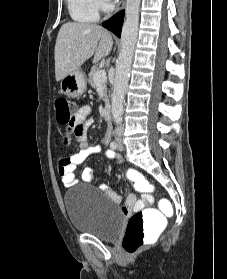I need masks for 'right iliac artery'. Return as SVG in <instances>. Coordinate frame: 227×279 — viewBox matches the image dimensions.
Instances as JSON below:
<instances>
[{
    "mask_svg": "<svg viewBox=\"0 0 227 279\" xmlns=\"http://www.w3.org/2000/svg\"><path fill=\"white\" fill-rule=\"evenodd\" d=\"M110 147H111L112 150H116L117 147H118L117 142L116 141H112L111 144H110Z\"/></svg>",
    "mask_w": 227,
    "mask_h": 279,
    "instance_id": "obj_1",
    "label": "right iliac artery"
}]
</instances>
